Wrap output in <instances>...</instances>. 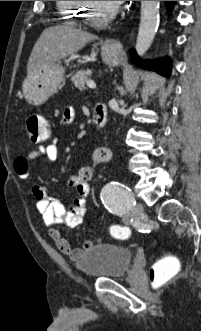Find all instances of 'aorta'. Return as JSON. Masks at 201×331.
Returning a JSON list of instances; mask_svg holds the SVG:
<instances>
[{"label": "aorta", "mask_w": 201, "mask_h": 331, "mask_svg": "<svg viewBox=\"0 0 201 331\" xmlns=\"http://www.w3.org/2000/svg\"><path fill=\"white\" fill-rule=\"evenodd\" d=\"M159 24V1H141L140 26L136 39V51L143 56L150 48Z\"/></svg>", "instance_id": "1"}]
</instances>
